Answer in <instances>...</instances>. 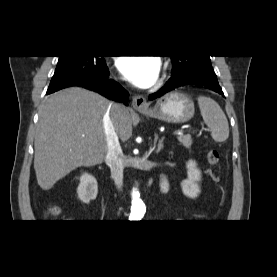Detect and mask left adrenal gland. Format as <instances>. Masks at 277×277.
<instances>
[{
	"label": "left adrenal gland",
	"instance_id": "obj_1",
	"mask_svg": "<svg viewBox=\"0 0 277 277\" xmlns=\"http://www.w3.org/2000/svg\"><path fill=\"white\" fill-rule=\"evenodd\" d=\"M157 141H158V136L155 134L154 147L156 146ZM163 141H164L163 138L158 141V146H157V150H156L157 153H159L163 149V147H164Z\"/></svg>",
	"mask_w": 277,
	"mask_h": 277
}]
</instances>
